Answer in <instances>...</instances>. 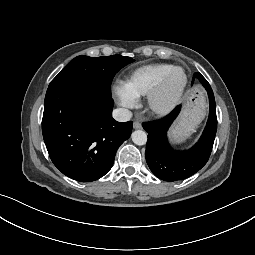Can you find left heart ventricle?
Instances as JSON below:
<instances>
[{
	"mask_svg": "<svg viewBox=\"0 0 255 255\" xmlns=\"http://www.w3.org/2000/svg\"><path fill=\"white\" fill-rule=\"evenodd\" d=\"M182 81L183 74L181 72L175 73L169 83L168 92H173L174 90H176L181 85Z\"/></svg>",
	"mask_w": 255,
	"mask_h": 255,
	"instance_id": "left-heart-ventricle-1",
	"label": "left heart ventricle"
}]
</instances>
